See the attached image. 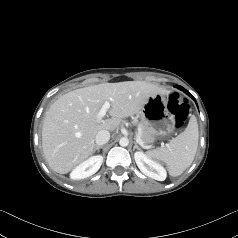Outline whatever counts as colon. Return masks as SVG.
Here are the masks:
<instances>
[{
	"instance_id": "1",
	"label": "colon",
	"mask_w": 238,
	"mask_h": 238,
	"mask_svg": "<svg viewBox=\"0 0 238 238\" xmlns=\"http://www.w3.org/2000/svg\"><path fill=\"white\" fill-rule=\"evenodd\" d=\"M168 109L174 115L177 126H181L188 117V104L176 94L170 95Z\"/></svg>"
}]
</instances>
